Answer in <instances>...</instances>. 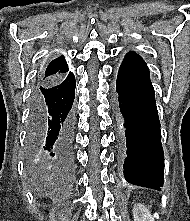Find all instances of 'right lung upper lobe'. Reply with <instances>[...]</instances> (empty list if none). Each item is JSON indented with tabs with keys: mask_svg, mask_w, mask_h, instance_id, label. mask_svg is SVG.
I'll list each match as a JSON object with an SVG mask.
<instances>
[{
	"mask_svg": "<svg viewBox=\"0 0 190 221\" xmlns=\"http://www.w3.org/2000/svg\"><path fill=\"white\" fill-rule=\"evenodd\" d=\"M69 73L71 72H69V68L64 56H60L50 62L45 72H42L40 75L39 81L45 82L48 80L62 78Z\"/></svg>",
	"mask_w": 190,
	"mask_h": 221,
	"instance_id": "right-lung-upper-lobe-1",
	"label": "right lung upper lobe"
}]
</instances>
